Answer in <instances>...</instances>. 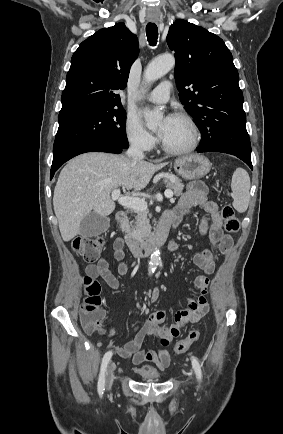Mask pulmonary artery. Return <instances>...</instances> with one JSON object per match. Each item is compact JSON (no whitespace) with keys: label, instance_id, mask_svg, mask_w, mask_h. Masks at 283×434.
Instances as JSON below:
<instances>
[{"label":"pulmonary artery","instance_id":"pulmonary-artery-1","mask_svg":"<svg viewBox=\"0 0 283 434\" xmlns=\"http://www.w3.org/2000/svg\"><path fill=\"white\" fill-rule=\"evenodd\" d=\"M171 91V82L164 81L161 82L157 87H155L152 92L148 95L147 99L150 102L161 104L168 101Z\"/></svg>","mask_w":283,"mask_h":434}]
</instances>
